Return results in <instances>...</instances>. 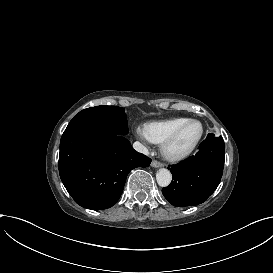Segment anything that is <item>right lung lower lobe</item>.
<instances>
[{"label":"right lung lower lobe","mask_w":273,"mask_h":273,"mask_svg":"<svg viewBox=\"0 0 273 273\" xmlns=\"http://www.w3.org/2000/svg\"><path fill=\"white\" fill-rule=\"evenodd\" d=\"M151 159L135 151L124 135L78 126L60 141L59 174L68 193L84 208L102 210L120 198L128 173Z\"/></svg>","instance_id":"1"}]
</instances>
